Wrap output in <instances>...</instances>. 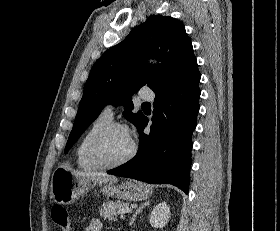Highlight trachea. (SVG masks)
Instances as JSON below:
<instances>
[{
  "instance_id": "3493384b",
  "label": "trachea",
  "mask_w": 280,
  "mask_h": 231,
  "mask_svg": "<svg viewBox=\"0 0 280 231\" xmlns=\"http://www.w3.org/2000/svg\"><path fill=\"white\" fill-rule=\"evenodd\" d=\"M141 108L143 110H150L151 109L150 108V103H148V102L142 103Z\"/></svg>"
}]
</instances>
